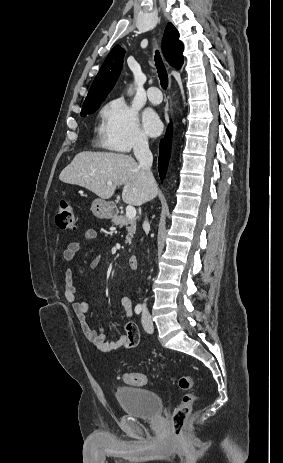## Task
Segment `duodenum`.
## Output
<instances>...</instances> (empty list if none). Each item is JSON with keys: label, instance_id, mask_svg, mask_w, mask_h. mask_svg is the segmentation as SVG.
I'll return each mask as SVG.
<instances>
[{"label": "duodenum", "instance_id": "duodenum-1", "mask_svg": "<svg viewBox=\"0 0 283 463\" xmlns=\"http://www.w3.org/2000/svg\"><path fill=\"white\" fill-rule=\"evenodd\" d=\"M129 267L132 270H136L138 268V257L137 256H130V258H129Z\"/></svg>", "mask_w": 283, "mask_h": 463}]
</instances>
